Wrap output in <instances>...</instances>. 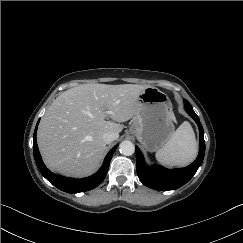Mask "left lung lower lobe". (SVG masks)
<instances>
[{"label":"left lung lower lobe","instance_id":"obj_1","mask_svg":"<svg viewBox=\"0 0 243 243\" xmlns=\"http://www.w3.org/2000/svg\"><path fill=\"white\" fill-rule=\"evenodd\" d=\"M184 107L186 112L194 119L199 127V155L191 165L185 168L166 169L162 166L148 167L144 162L141 152L138 147H136L137 174L140 181L149 188L159 191L177 189L187 183L202 164L205 154L203 127L199 121V117L195 114L187 100H184Z\"/></svg>","mask_w":243,"mask_h":243}]
</instances>
